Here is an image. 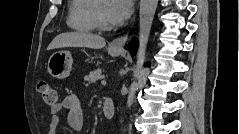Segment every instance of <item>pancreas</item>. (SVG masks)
<instances>
[{
  "label": "pancreas",
  "mask_w": 239,
  "mask_h": 134,
  "mask_svg": "<svg viewBox=\"0 0 239 134\" xmlns=\"http://www.w3.org/2000/svg\"><path fill=\"white\" fill-rule=\"evenodd\" d=\"M102 78V70L100 68L91 71L89 75H86L84 80L89 83H95L97 80Z\"/></svg>",
  "instance_id": "1"
}]
</instances>
